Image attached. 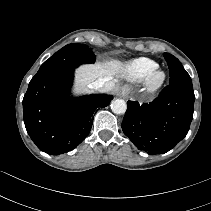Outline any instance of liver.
I'll return each instance as SVG.
<instances>
[{"label":"liver","mask_w":211,"mask_h":211,"mask_svg":"<svg viewBox=\"0 0 211 211\" xmlns=\"http://www.w3.org/2000/svg\"><path fill=\"white\" fill-rule=\"evenodd\" d=\"M122 69L123 64L118 60L95 63L94 65H82L76 69V81L73 93H83L91 83L98 79H103L105 82L103 91L111 92L114 90L115 84L119 81L115 76Z\"/></svg>","instance_id":"liver-1"}]
</instances>
